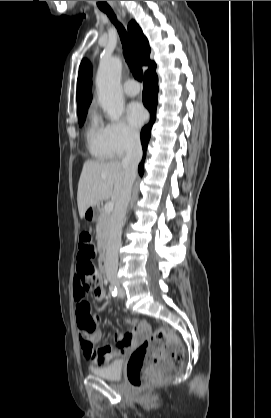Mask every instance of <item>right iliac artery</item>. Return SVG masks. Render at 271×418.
I'll return each instance as SVG.
<instances>
[{
	"instance_id": "1",
	"label": "right iliac artery",
	"mask_w": 271,
	"mask_h": 418,
	"mask_svg": "<svg viewBox=\"0 0 271 418\" xmlns=\"http://www.w3.org/2000/svg\"><path fill=\"white\" fill-rule=\"evenodd\" d=\"M109 291H110L112 296H114V297L117 296V288H116L115 285H110L109 286Z\"/></svg>"
}]
</instances>
